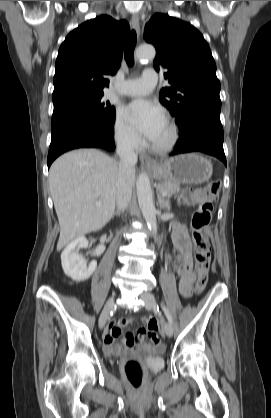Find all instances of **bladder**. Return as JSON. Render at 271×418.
<instances>
[{
    "label": "bladder",
    "instance_id": "31cf9c89",
    "mask_svg": "<svg viewBox=\"0 0 271 418\" xmlns=\"http://www.w3.org/2000/svg\"><path fill=\"white\" fill-rule=\"evenodd\" d=\"M147 364L152 372L161 370L164 366L162 350L153 351L148 358Z\"/></svg>",
    "mask_w": 271,
    "mask_h": 418
}]
</instances>
